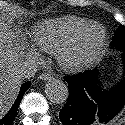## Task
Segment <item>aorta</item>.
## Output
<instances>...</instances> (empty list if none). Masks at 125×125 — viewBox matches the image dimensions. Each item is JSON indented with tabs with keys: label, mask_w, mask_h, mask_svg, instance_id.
<instances>
[{
	"label": "aorta",
	"mask_w": 125,
	"mask_h": 125,
	"mask_svg": "<svg viewBox=\"0 0 125 125\" xmlns=\"http://www.w3.org/2000/svg\"><path fill=\"white\" fill-rule=\"evenodd\" d=\"M45 94L52 103L62 104L67 100L69 91L67 85L63 81L51 79L45 86Z\"/></svg>",
	"instance_id": "obj_1"
}]
</instances>
